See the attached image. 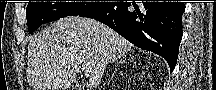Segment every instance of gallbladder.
<instances>
[{
  "instance_id": "gallbladder-1",
  "label": "gallbladder",
  "mask_w": 216,
  "mask_h": 90,
  "mask_svg": "<svg viewBox=\"0 0 216 90\" xmlns=\"http://www.w3.org/2000/svg\"><path fill=\"white\" fill-rule=\"evenodd\" d=\"M80 90H84V86H80Z\"/></svg>"
}]
</instances>
